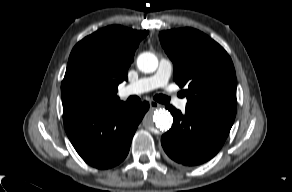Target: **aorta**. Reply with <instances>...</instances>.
Returning <instances> with one entry per match:
<instances>
[{
  "instance_id": "obj_1",
  "label": "aorta",
  "mask_w": 292,
  "mask_h": 192,
  "mask_svg": "<svg viewBox=\"0 0 292 192\" xmlns=\"http://www.w3.org/2000/svg\"><path fill=\"white\" fill-rule=\"evenodd\" d=\"M137 66L144 73H152L158 67L157 57L150 52L141 53L137 58ZM173 117L165 109L156 110L152 117L146 116L143 124L149 130H154L156 127L160 131H167L172 126Z\"/></svg>"
}]
</instances>
